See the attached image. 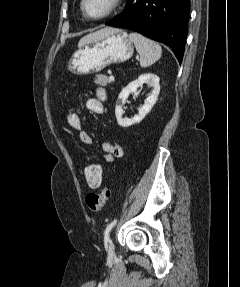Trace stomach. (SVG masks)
Masks as SVG:
<instances>
[{"instance_id":"obj_1","label":"stomach","mask_w":240,"mask_h":287,"mask_svg":"<svg viewBox=\"0 0 240 287\" xmlns=\"http://www.w3.org/2000/svg\"><path fill=\"white\" fill-rule=\"evenodd\" d=\"M134 46L126 31L113 28L108 34L79 46L68 69L77 75L99 72L105 67L130 59Z\"/></svg>"}]
</instances>
